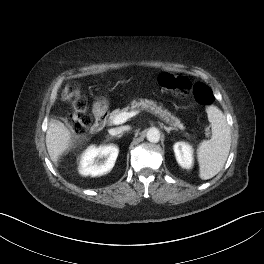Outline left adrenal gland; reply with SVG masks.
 Listing matches in <instances>:
<instances>
[{
    "instance_id": "obj_1",
    "label": "left adrenal gland",
    "mask_w": 264,
    "mask_h": 264,
    "mask_svg": "<svg viewBox=\"0 0 264 264\" xmlns=\"http://www.w3.org/2000/svg\"><path fill=\"white\" fill-rule=\"evenodd\" d=\"M164 129L166 130V132L169 134L170 133V131H172V130H178L177 128H175V127H166V126H164Z\"/></svg>"
}]
</instances>
